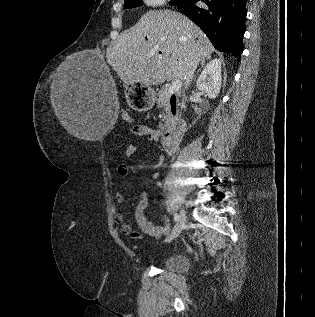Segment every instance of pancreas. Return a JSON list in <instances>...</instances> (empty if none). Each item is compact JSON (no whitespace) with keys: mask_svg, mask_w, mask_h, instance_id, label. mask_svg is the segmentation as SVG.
<instances>
[{"mask_svg":"<svg viewBox=\"0 0 315 317\" xmlns=\"http://www.w3.org/2000/svg\"><path fill=\"white\" fill-rule=\"evenodd\" d=\"M157 105L159 108L163 107L164 112L162 113V121L164 122V125L160 124V127H165L168 125L171 114H170V94L168 93L167 89H161L158 92V99H157Z\"/></svg>","mask_w":315,"mask_h":317,"instance_id":"1","label":"pancreas"}]
</instances>
